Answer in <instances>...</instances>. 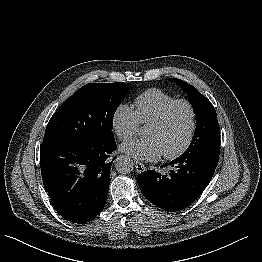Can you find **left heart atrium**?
Segmentation results:
<instances>
[{"label": "left heart atrium", "mask_w": 262, "mask_h": 262, "mask_svg": "<svg viewBox=\"0 0 262 262\" xmlns=\"http://www.w3.org/2000/svg\"><path fill=\"white\" fill-rule=\"evenodd\" d=\"M120 150L141 161H156L162 155V149L154 138L134 139L123 143Z\"/></svg>", "instance_id": "obj_1"}]
</instances>
